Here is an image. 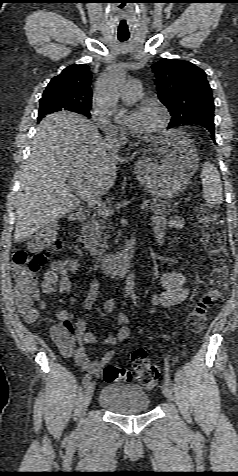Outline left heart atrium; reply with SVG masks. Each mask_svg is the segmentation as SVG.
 Segmentation results:
<instances>
[{
    "instance_id": "1",
    "label": "left heart atrium",
    "mask_w": 238,
    "mask_h": 476,
    "mask_svg": "<svg viewBox=\"0 0 238 476\" xmlns=\"http://www.w3.org/2000/svg\"><path fill=\"white\" fill-rule=\"evenodd\" d=\"M144 121V111L134 110L121 119V125L131 133L139 134Z\"/></svg>"
}]
</instances>
